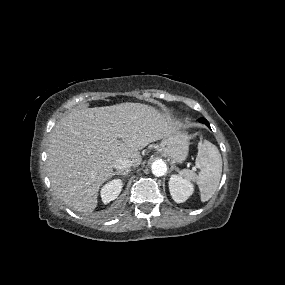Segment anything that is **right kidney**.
<instances>
[{
  "mask_svg": "<svg viewBox=\"0 0 285 285\" xmlns=\"http://www.w3.org/2000/svg\"><path fill=\"white\" fill-rule=\"evenodd\" d=\"M123 183L120 179H114L105 184L101 189L102 201L107 204L116 199L121 192Z\"/></svg>",
  "mask_w": 285,
  "mask_h": 285,
  "instance_id": "right-kidney-1",
  "label": "right kidney"
}]
</instances>
